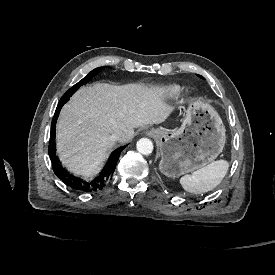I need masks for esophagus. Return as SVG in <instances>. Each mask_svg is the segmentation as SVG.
I'll return each instance as SVG.
<instances>
[{"instance_id": "34e87169", "label": "esophagus", "mask_w": 275, "mask_h": 275, "mask_svg": "<svg viewBox=\"0 0 275 275\" xmlns=\"http://www.w3.org/2000/svg\"><path fill=\"white\" fill-rule=\"evenodd\" d=\"M146 135L149 137H156L157 132L155 130H150L146 132Z\"/></svg>"}]
</instances>
